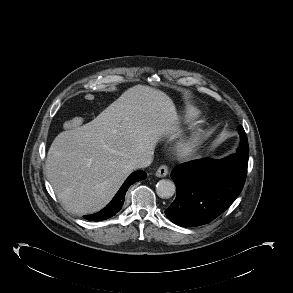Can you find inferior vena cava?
<instances>
[{"label":"inferior vena cava","mask_w":293,"mask_h":293,"mask_svg":"<svg viewBox=\"0 0 293 293\" xmlns=\"http://www.w3.org/2000/svg\"><path fill=\"white\" fill-rule=\"evenodd\" d=\"M153 153L154 152H149L147 154H144L140 158L134 160L133 162V167L136 168H146L148 167L153 160Z\"/></svg>","instance_id":"obj_1"}]
</instances>
